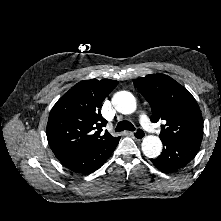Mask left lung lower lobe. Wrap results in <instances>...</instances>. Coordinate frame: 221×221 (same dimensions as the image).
<instances>
[{
	"instance_id": "0a47b994",
	"label": "left lung lower lobe",
	"mask_w": 221,
	"mask_h": 221,
	"mask_svg": "<svg viewBox=\"0 0 221 221\" xmlns=\"http://www.w3.org/2000/svg\"><path fill=\"white\" fill-rule=\"evenodd\" d=\"M202 138L179 142H163V151L156 159H151L156 168L163 172H175L188 164L197 154Z\"/></svg>"
}]
</instances>
